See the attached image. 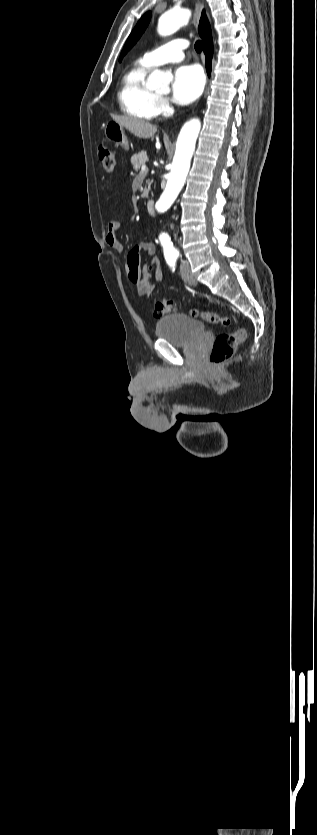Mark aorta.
Wrapping results in <instances>:
<instances>
[{
	"label": "aorta",
	"mask_w": 317,
	"mask_h": 835,
	"mask_svg": "<svg viewBox=\"0 0 317 835\" xmlns=\"http://www.w3.org/2000/svg\"><path fill=\"white\" fill-rule=\"evenodd\" d=\"M189 17L190 11L183 8H171L163 12L158 19V33L161 36L175 33L182 25L188 22ZM171 80V74L155 69L148 76L146 86L149 89L159 88L166 90ZM200 130V120L191 119L183 125L179 133L166 188L156 204V209L159 213H164L172 205L185 183Z\"/></svg>",
	"instance_id": "762f6f07"
}]
</instances>
